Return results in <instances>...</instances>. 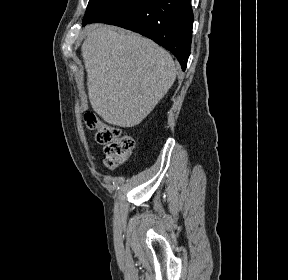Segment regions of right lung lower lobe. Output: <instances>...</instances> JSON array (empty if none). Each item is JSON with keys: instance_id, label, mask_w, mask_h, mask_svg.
Here are the masks:
<instances>
[{"instance_id": "obj_1", "label": "right lung lower lobe", "mask_w": 288, "mask_h": 280, "mask_svg": "<svg viewBox=\"0 0 288 280\" xmlns=\"http://www.w3.org/2000/svg\"><path fill=\"white\" fill-rule=\"evenodd\" d=\"M193 18L190 0H114L82 24L107 23L140 33L171 51L184 71Z\"/></svg>"}]
</instances>
